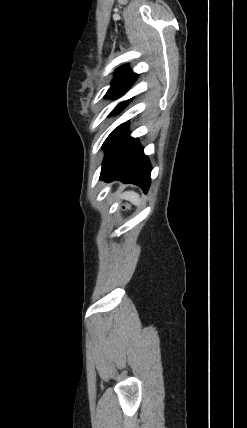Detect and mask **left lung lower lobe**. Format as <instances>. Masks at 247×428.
I'll use <instances>...</instances> for the list:
<instances>
[{"label":"left lung lower lobe","mask_w":247,"mask_h":428,"mask_svg":"<svg viewBox=\"0 0 247 428\" xmlns=\"http://www.w3.org/2000/svg\"><path fill=\"white\" fill-rule=\"evenodd\" d=\"M106 155L100 178L138 185L146 193L150 186L151 165L136 138L129 136L127 123L118 126L103 144Z\"/></svg>","instance_id":"left-lung-lower-lobe-1"}]
</instances>
